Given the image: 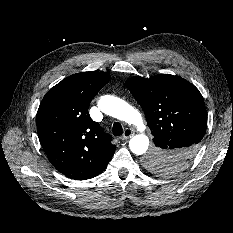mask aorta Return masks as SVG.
<instances>
[{
    "label": "aorta",
    "instance_id": "aorta-1",
    "mask_svg": "<svg viewBox=\"0 0 233 233\" xmlns=\"http://www.w3.org/2000/svg\"><path fill=\"white\" fill-rule=\"evenodd\" d=\"M98 107L103 113L136 126L139 131L145 129L142 115L120 98L110 95L102 96L98 101ZM148 146L149 139L144 134H137L129 141L130 150L136 155L145 154Z\"/></svg>",
    "mask_w": 233,
    "mask_h": 233
}]
</instances>
